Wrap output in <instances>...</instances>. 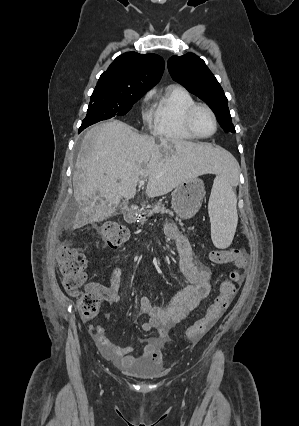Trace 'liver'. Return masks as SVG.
<instances>
[{
	"instance_id": "6515ba94",
	"label": "liver",
	"mask_w": 299,
	"mask_h": 426,
	"mask_svg": "<svg viewBox=\"0 0 299 426\" xmlns=\"http://www.w3.org/2000/svg\"><path fill=\"white\" fill-rule=\"evenodd\" d=\"M234 164L228 151L210 143L157 140L119 120L97 124L85 134L75 164L73 229L111 217L122 198H134L140 180H148L146 194L154 198L199 175L226 173Z\"/></svg>"
}]
</instances>
